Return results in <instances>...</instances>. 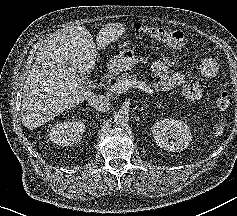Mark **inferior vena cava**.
Segmentation results:
<instances>
[{"label": "inferior vena cava", "instance_id": "1", "mask_svg": "<svg viewBox=\"0 0 237 216\" xmlns=\"http://www.w3.org/2000/svg\"><path fill=\"white\" fill-rule=\"evenodd\" d=\"M87 101L88 105L100 112H107L111 107L109 98L104 95L93 94Z\"/></svg>", "mask_w": 237, "mask_h": 216}]
</instances>
